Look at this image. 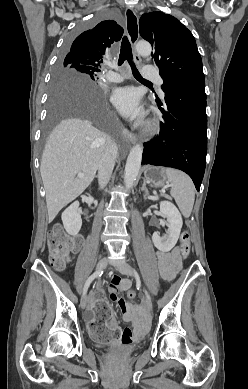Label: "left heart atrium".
<instances>
[{
  "instance_id": "39dd6f15",
  "label": "left heart atrium",
  "mask_w": 248,
  "mask_h": 389,
  "mask_svg": "<svg viewBox=\"0 0 248 389\" xmlns=\"http://www.w3.org/2000/svg\"><path fill=\"white\" fill-rule=\"evenodd\" d=\"M112 102L118 111L128 119L140 120L143 117L140 96L135 88L117 89L112 96Z\"/></svg>"
}]
</instances>
